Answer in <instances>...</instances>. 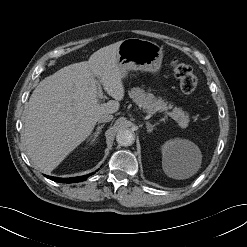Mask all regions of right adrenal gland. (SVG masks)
Returning <instances> with one entry per match:
<instances>
[{
  "instance_id": "1",
  "label": "right adrenal gland",
  "mask_w": 247,
  "mask_h": 247,
  "mask_svg": "<svg viewBox=\"0 0 247 247\" xmlns=\"http://www.w3.org/2000/svg\"><path fill=\"white\" fill-rule=\"evenodd\" d=\"M104 126H105V124L98 126L96 131L90 136L91 143H93L98 138V136L100 135L101 130Z\"/></svg>"
}]
</instances>
